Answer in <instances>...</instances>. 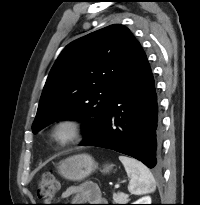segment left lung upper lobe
Returning <instances> with one entry per match:
<instances>
[{
  "label": "left lung upper lobe",
  "instance_id": "left-lung-upper-lobe-1",
  "mask_svg": "<svg viewBox=\"0 0 200 205\" xmlns=\"http://www.w3.org/2000/svg\"><path fill=\"white\" fill-rule=\"evenodd\" d=\"M123 25H110L67 45L45 83L33 133L64 118L84 123V139L91 142L103 125L114 88L136 44Z\"/></svg>",
  "mask_w": 200,
  "mask_h": 205
}]
</instances>
